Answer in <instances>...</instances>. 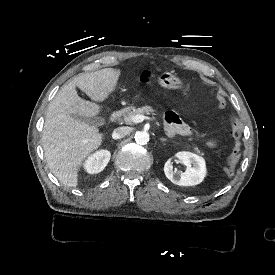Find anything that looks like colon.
Masks as SVG:
<instances>
[{
    "instance_id": "5ec220e1",
    "label": "colon",
    "mask_w": 275,
    "mask_h": 275,
    "mask_svg": "<svg viewBox=\"0 0 275 275\" xmlns=\"http://www.w3.org/2000/svg\"><path fill=\"white\" fill-rule=\"evenodd\" d=\"M216 104L220 108L226 107L227 101L222 93H218L216 95ZM232 136H233L235 144H234L231 155L228 157V159L225 162V168H224L225 173L228 176H233L235 174L236 166L240 160L241 153H242L241 125L236 120L235 117H232Z\"/></svg>"
}]
</instances>
